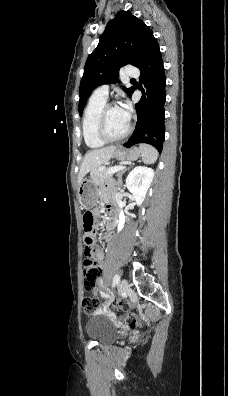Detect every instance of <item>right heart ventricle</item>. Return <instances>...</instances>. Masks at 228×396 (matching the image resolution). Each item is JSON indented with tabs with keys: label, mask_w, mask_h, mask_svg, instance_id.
Returning <instances> with one entry per match:
<instances>
[{
	"label": "right heart ventricle",
	"mask_w": 228,
	"mask_h": 396,
	"mask_svg": "<svg viewBox=\"0 0 228 396\" xmlns=\"http://www.w3.org/2000/svg\"><path fill=\"white\" fill-rule=\"evenodd\" d=\"M106 104V99L92 95L85 109L82 120V134L85 144L91 149H98L104 146L97 135L96 125L98 115Z\"/></svg>",
	"instance_id": "obj_1"
}]
</instances>
